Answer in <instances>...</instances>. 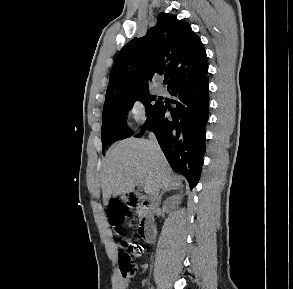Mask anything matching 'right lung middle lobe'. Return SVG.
Masks as SVG:
<instances>
[{
	"label": "right lung middle lobe",
	"instance_id": "obj_1",
	"mask_svg": "<svg viewBox=\"0 0 293 289\" xmlns=\"http://www.w3.org/2000/svg\"><path fill=\"white\" fill-rule=\"evenodd\" d=\"M156 96L149 92L131 96L114 98L104 103L102 118V144L103 150L108 143L129 138L133 135L126 125L127 111L130 110L136 100L141 101L146 107L147 117L156 110L161 102L155 100Z\"/></svg>",
	"mask_w": 293,
	"mask_h": 289
}]
</instances>
